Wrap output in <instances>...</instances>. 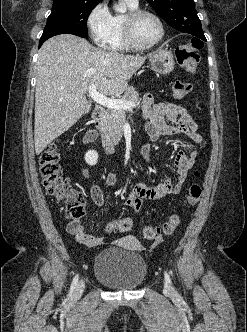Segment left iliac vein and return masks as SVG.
Instances as JSON below:
<instances>
[{
    "label": "left iliac vein",
    "instance_id": "1",
    "mask_svg": "<svg viewBox=\"0 0 247 332\" xmlns=\"http://www.w3.org/2000/svg\"><path fill=\"white\" fill-rule=\"evenodd\" d=\"M164 289H165V292L168 295H174L175 294L174 288L167 282H164Z\"/></svg>",
    "mask_w": 247,
    "mask_h": 332
}]
</instances>
